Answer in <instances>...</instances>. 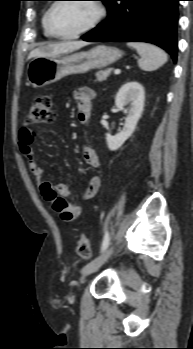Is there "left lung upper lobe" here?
Returning <instances> with one entry per match:
<instances>
[{"label":"left lung upper lobe","instance_id":"1","mask_svg":"<svg viewBox=\"0 0 193 349\" xmlns=\"http://www.w3.org/2000/svg\"><path fill=\"white\" fill-rule=\"evenodd\" d=\"M100 1H103L105 4L108 2V0H100ZM87 34V33H86Z\"/></svg>","mask_w":193,"mask_h":349}]
</instances>
